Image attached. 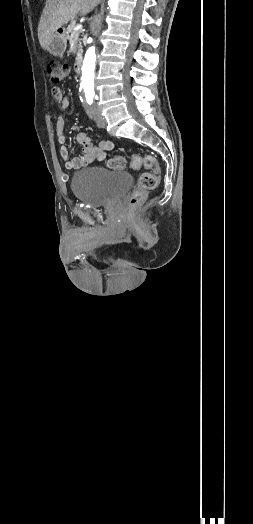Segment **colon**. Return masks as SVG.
<instances>
[{"label": "colon", "instance_id": "1", "mask_svg": "<svg viewBox=\"0 0 253 524\" xmlns=\"http://www.w3.org/2000/svg\"><path fill=\"white\" fill-rule=\"evenodd\" d=\"M47 71L51 80L58 83L67 76L69 73V67L67 64L54 61L47 65ZM108 166L114 170H121L126 166V160L122 156H114L109 160ZM130 166L135 170L140 169L142 166L148 169V171L143 172L140 175L137 186L130 196L129 205L134 207L144 199L149 191L158 186L160 175L157 162L152 156L141 158L140 155L133 154L130 158Z\"/></svg>", "mask_w": 253, "mask_h": 524}]
</instances>
